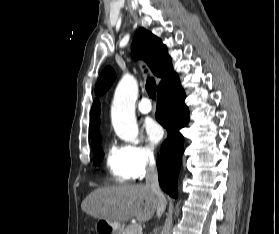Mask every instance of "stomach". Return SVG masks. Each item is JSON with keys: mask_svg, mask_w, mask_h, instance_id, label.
Wrapping results in <instances>:
<instances>
[{"mask_svg": "<svg viewBox=\"0 0 279 234\" xmlns=\"http://www.w3.org/2000/svg\"><path fill=\"white\" fill-rule=\"evenodd\" d=\"M97 234H122L123 226L117 222L99 219L95 225Z\"/></svg>", "mask_w": 279, "mask_h": 234, "instance_id": "obj_1", "label": "stomach"}]
</instances>
